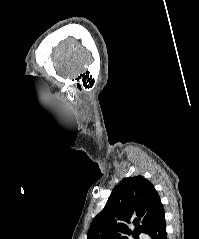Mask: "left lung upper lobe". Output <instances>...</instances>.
Listing matches in <instances>:
<instances>
[{"instance_id":"obj_1","label":"left lung upper lobe","mask_w":199,"mask_h":239,"mask_svg":"<svg viewBox=\"0 0 199 239\" xmlns=\"http://www.w3.org/2000/svg\"><path fill=\"white\" fill-rule=\"evenodd\" d=\"M163 210L154 186L144 177H127L114 187L104 209L94 218L87 239H135L148 233ZM128 224L135 225L132 232Z\"/></svg>"}]
</instances>
